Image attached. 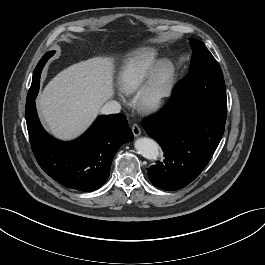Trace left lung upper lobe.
<instances>
[{
    "label": "left lung upper lobe",
    "instance_id": "obj_1",
    "mask_svg": "<svg viewBox=\"0 0 265 265\" xmlns=\"http://www.w3.org/2000/svg\"><path fill=\"white\" fill-rule=\"evenodd\" d=\"M193 50L187 76L177 86L173 104H193L226 121L227 98L218 62L199 40L190 38Z\"/></svg>",
    "mask_w": 265,
    "mask_h": 265
}]
</instances>
